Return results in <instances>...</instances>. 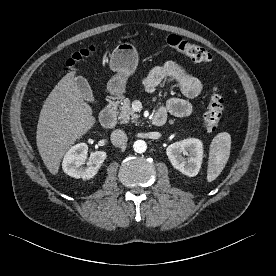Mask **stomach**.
<instances>
[{
    "label": "stomach",
    "mask_w": 276,
    "mask_h": 276,
    "mask_svg": "<svg viewBox=\"0 0 276 276\" xmlns=\"http://www.w3.org/2000/svg\"><path fill=\"white\" fill-rule=\"evenodd\" d=\"M138 64V53L129 43H120L112 52L109 66L116 72L107 84L111 95L120 96L125 92L126 81L131 76Z\"/></svg>",
    "instance_id": "stomach-1"
}]
</instances>
